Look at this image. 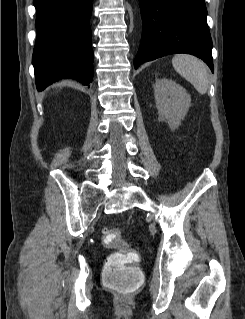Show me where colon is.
I'll list each match as a JSON object with an SVG mask.
<instances>
[{"label":"colon","mask_w":245,"mask_h":319,"mask_svg":"<svg viewBox=\"0 0 245 319\" xmlns=\"http://www.w3.org/2000/svg\"><path fill=\"white\" fill-rule=\"evenodd\" d=\"M102 239L106 246H117L121 243L120 231L105 228L102 231ZM137 261L138 255L133 250L117 251L110 254L104 265V284L123 294L136 291L144 280L141 270L136 266Z\"/></svg>","instance_id":"colon-1"}]
</instances>
